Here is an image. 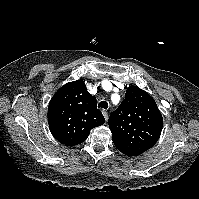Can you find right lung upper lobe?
Returning a JSON list of instances; mask_svg holds the SVG:
<instances>
[{
    "label": "right lung upper lobe",
    "instance_id": "cb5924a9",
    "mask_svg": "<svg viewBox=\"0 0 199 199\" xmlns=\"http://www.w3.org/2000/svg\"><path fill=\"white\" fill-rule=\"evenodd\" d=\"M52 135L62 144L74 146L84 142L90 130L103 125L105 119L97 101L88 93L82 80L66 83L52 97L48 107Z\"/></svg>",
    "mask_w": 199,
    "mask_h": 199
}]
</instances>
